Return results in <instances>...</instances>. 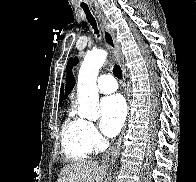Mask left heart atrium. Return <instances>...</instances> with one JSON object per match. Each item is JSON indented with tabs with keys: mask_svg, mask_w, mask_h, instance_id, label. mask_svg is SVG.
I'll return each instance as SVG.
<instances>
[{
	"mask_svg": "<svg viewBox=\"0 0 196 182\" xmlns=\"http://www.w3.org/2000/svg\"><path fill=\"white\" fill-rule=\"evenodd\" d=\"M100 128L108 137L119 133L126 119V104L121 95L104 97L100 102Z\"/></svg>",
	"mask_w": 196,
	"mask_h": 182,
	"instance_id": "1",
	"label": "left heart atrium"
}]
</instances>
